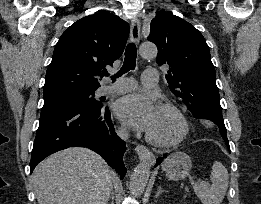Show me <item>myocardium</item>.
Returning <instances> with one entry per match:
<instances>
[{
	"mask_svg": "<svg viewBox=\"0 0 261 204\" xmlns=\"http://www.w3.org/2000/svg\"><path fill=\"white\" fill-rule=\"evenodd\" d=\"M157 107L171 111L179 121L180 130H179V133L177 134V136L170 140H158V139L152 137L147 132L145 134L146 140L149 143H151L152 145L161 147V148H169V147L178 145L186 138L188 131H189V124H188L186 116L184 115V113L181 111V109L178 106H176L175 104H173L171 102H161L158 104Z\"/></svg>",
	"mask_w": 261,
	"mask_h": 204,
	"instance_id": "obj_1",
	"label": "myocardium"
}]
</instances>
